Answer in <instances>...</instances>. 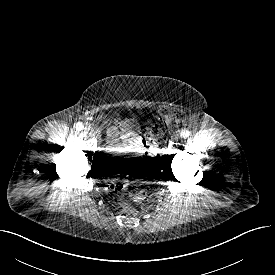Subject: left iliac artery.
I'll return each mask as SVG.
<instances>
[{
	"instance_id": "1",
	"label": "left iliac artery",
	"mask_w": 275,
	"mask_h": 275,
	"mask_svg": "<svg viewBox=\"0 0 275 275\" xmlns=\"http://www.w3.org/2000/svg\"><path fill=\"white\" fill-rule=\"evenodd\" d=\"M190 135V132L186 129L181 131V137L186 138Z\"/></svg>"
}]
</instances>
